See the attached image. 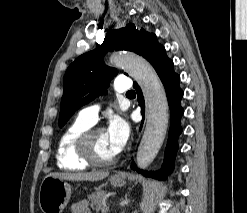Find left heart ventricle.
<instances>
[{
    "instance_id": "b2bd125f",
    "label": "left heart ventricle",
    "mask_w": 247,
    "mask_h": 213,
    "mask_svg": "<svg viewBox=\"0 0 247 213\" xmlns=\"http://www.w3.org/2000/svg\"><path fill=\"white\" fill-rule=\"evenodd\" d=\"M93 153L101 160H107L115 156L104 130L98 131L93 138Z\"/></svg>"
}]
</instances>
